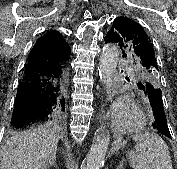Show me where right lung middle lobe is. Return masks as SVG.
I'll list each match as a JSON object with an SVG mask.
<instances>
[{
  "label": "right lung middle lobe",
  "mask_w": 177,
  "mask_h": 169,
  "mask_svg": "<svg viewBox=\"0 0 177 169\" xmlns=\"http://www.w3.org/2000/svg\"><path fill=\"white\" fill-rule=\"evenodd\" d=\"M56 126H57V127H63V126H64V122L61 123V124L58 123V124H56Z\"/></svg>",
  "instance_id": "right-lung-middle-lobe-1"
}]
</instances>
